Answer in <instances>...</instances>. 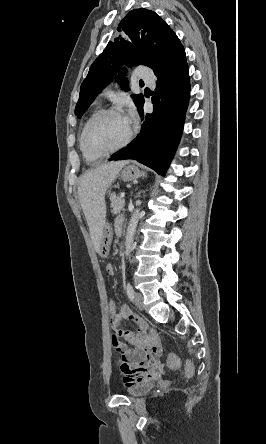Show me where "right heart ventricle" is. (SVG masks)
<instances>
[{
	"mask_svg": "<svg viewBox=\"0 0 266 444\" xmlns=\"http://www.w3.org/2000/svg\"><path fill=\"white\" fill-rule=\"evenodd\" d=\"M96 112H97V109L94 110V111L92 112V114L89 116V118L87 119V121H86L85 124H84V127H85L86 123L88 122V120H89V119H90V118H91ZM84 127H83V129H84ZM83 129H82V131H83ZM82 131H81V134H82ZM81 134H80V138H79V145H80V149H81V151H82L84 157H85L87 160H99V159L101 158V156L90 155V154L86 153V152L83 150V148H82V146H81Z\"/></svg>",
	"mask_w": 266,
	"mask_h": 444,
	"instance_id": "e07e8e85",
	"label": "right heart ventricle"
}]
</instances>
